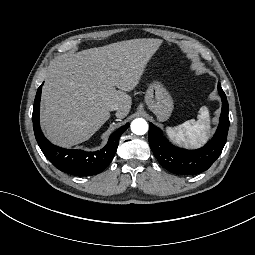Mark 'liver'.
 <instances>
[{"label":"liver","instance_id":"1","mask_svg":"<svg viewBox=\"0 0 255 255\" xmlns=\"http://www.w3.org/2000/svg\"><path fill=\"white\" fill-rule=\"evenodd\" d=\"M161 44V39H131L52 61L41 97L47 138L62 147L88 140L110 118L113 103L119 104L116 117L125 118L132 104L126 92L139 83Z\"/></svg>","mask_w":255,"mask_h":255}]
</instances>
